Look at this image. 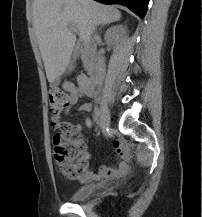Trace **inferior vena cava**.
<instances>
[{"instance_id":"1","label":"inferior vena cava","mask_w":202,"mask_h":217,"mask_svg":"<svg viewBox=\"0 0 202 217\" xmlns=\"http://www.w3.org/2000/svg\"><path fill=\"white\" fill-rule=\"evenodd\" d=\"M97 37L98 36L95 32L94 39H96ZM104 73H105V60L104 57L101 55V53H99L97 65H96V79L99 85H102L104 79Z\"/></svg>"}]
</instances>
